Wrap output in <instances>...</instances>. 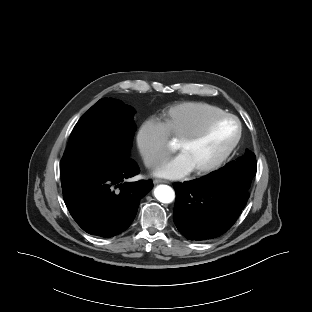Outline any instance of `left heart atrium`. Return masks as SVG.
<instances>
[{"instance_id":"left-heart-atrium-1","label":"left heart atrium","mask_w":312,"mask_h":312,"mask_svg":"<svg viewBox=\"0 0 312 312\" xmlns=\"http://www.w3.org/2000/svg\"><path fill=\"white\" fill-rule=\"evenodd\" d=\"M193 171L192 166L183 154H179L173 159L159 166L155 175L169 179H179Z\"/></svg>"}]
</instances>
